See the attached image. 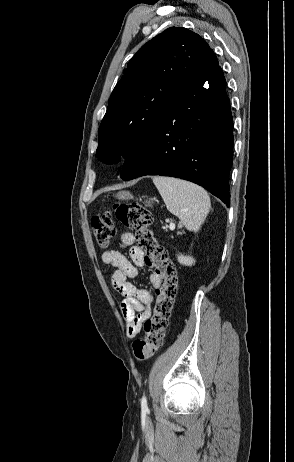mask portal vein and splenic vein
I'll list each match as a JSON object with an SVG mask.
<instances>
[{"label":"portal vein and splenic vein","instance_id":"portal-vein-and-splenic-vein-1","mask_svg":"<svg viewBox=\"0 0 294 462\" xmlns=\"http://www.w3.org/2000/svg\"><path fill=\"white\" fill-rule=\"evenodd\" d=\"M170 227H175V225L173 223L170 224Z\"/></svg>","mask_w":294,"mask_h":462}]
</instances>
